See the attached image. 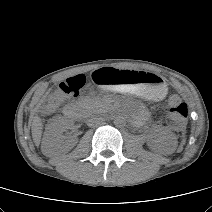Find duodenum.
I'll list each match as a JSON object with an SVG mask.
<instances>
[{"label": "duodenum", "instance_id": "410a0bca", "mask_svg": "<svg viewBox=\"0 0 212 212\" xmlns=\"http://www.w3.org/2000/svg\"><path fill=\"white\" fill-rule=\"evenodd\" d=\"M65 115L69 118H72V119H75V118L78 117L77 111L74 107H67L65 109ZM138 121H140V122L143 121V116H139Z\"/></svg>", "mask_w": 212, "mask_h": 212}]
</instances>
